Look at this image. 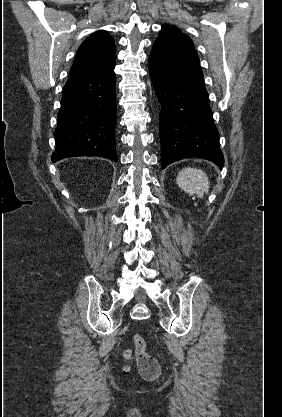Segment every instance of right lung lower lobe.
Here are the masks:
<instances>
[{"label":"right lung lower lobe","instance_id":"1","mask_svg":"<svg viewBox=\"0 0 282 417\" xmlns=\"http://www.w3.org/2000/svg\"><path fill=\"white\" fill-rule=\"evenodd\" d=\"M115 62L69 77L63 89L52 162L101 156L117 162Z\"/></svg>","mask_w":282,"mask_h":417}]
</instances>
